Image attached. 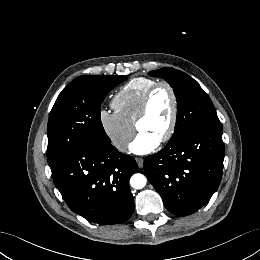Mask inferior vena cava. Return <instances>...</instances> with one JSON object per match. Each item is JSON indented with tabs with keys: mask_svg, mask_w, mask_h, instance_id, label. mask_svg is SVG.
I'll use <instances>...</instances> for the list:
<instances>
[{
	"mask_svg": "<svg viewBox=\"0 0 260 260\" xmlns=\"http://www.w3.org/2000/svg\"><path fill=\"white\" fill-rule=\"evenodd\" d=\"M127 143L125 141H119L115 144L116 148L119 150H122L124 146H126Z\"/></svg>",
	"mask_w": 260,
	"mask_h": 260,
	"instance_id": "1",
	"label": "inferior vena cava"
}]
</instances>
